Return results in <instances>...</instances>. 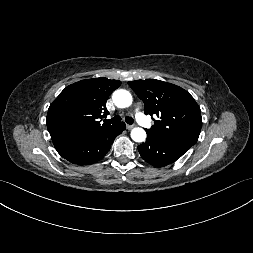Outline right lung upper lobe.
<instances>
[{
    "label": "right lung upper lobe",
    "mask_w": 253,
    "mask_h": 253,
    "mask_svg": "<svg viewBox=\"0 0 253 253\" xmlns=\"http://www.w3.org/2000/svg\"><path fill=\"white\" fill-rule=\"evenodd\" d=\"M120 85L100 77L67 86L51 103L46 118L55 148L112 127L100 124L99 118L108 114L106 101Z\"/></svg>",
    "instance_id": "right-lung-upper-lobe-1"
}]
</instances>
